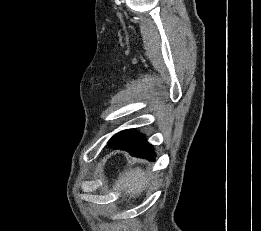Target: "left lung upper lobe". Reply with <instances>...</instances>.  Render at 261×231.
Returning a JSON list of instances; mask_svg holds the SVG:
<instances>
[{"label":"left lung upper lobe","instance_id":"left-lung-upper-lobe-1","mask_svg":"<svg viewBox=\"0 0 261 231\" xmlns=\"http://www.w3.org/2000/svg\"><path fill=\"white\" fill-rule=\"evenodd\" d=\"M128 138L136 139V140L145 139L144 136L142 134H140L139 132H137L136 129H128V130H123V131L117 133L116 135H114L108 141V144L115 143V142H118L119 140L128 139Z\"/></svg>","mask_w":261,"mask_h":231}]
</instances>
